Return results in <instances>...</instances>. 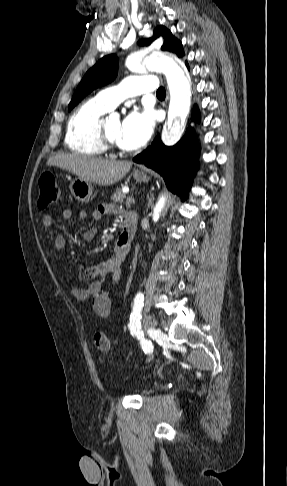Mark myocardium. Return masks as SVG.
<instances>
[{"label":"myocardium","mask_w":287,"mask_h":486,"mask_svg":"<svg viewBox=\"0 0 287 486\" xmlns=\"http://www.w3.org/2000/svg\"><path fill=\"white\" fill-rule=\"evenodd\" d=\"M100 141L106 150L122 151V147L115 143L108 135L105 125L100 126L99 130Z\"/></svg>","instance_id":"1"}]
</instances>
